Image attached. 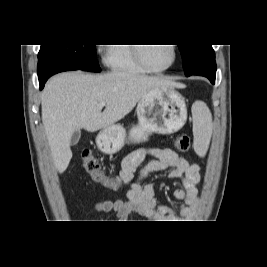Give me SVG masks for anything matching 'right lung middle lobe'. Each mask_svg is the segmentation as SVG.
Segmentation results:
<instances>
[{
    "label": "right lung middle lobe",
    "instance_id": "dd1d6c3e",
    "mask_svg": "<svg viewBox=\"0 0 267 267\" xmlns=\"http://www.w3.org/2000/svg\"><path fill=\"white\" fill-rule=\"evenodd\" d=\"M53 57L74 65L81 70L100 72L95 45L59 44L41 45L38 59Z\"/></svg>",
    "mask_w": 267,
    "mask_h": 267
}]
</instances>
